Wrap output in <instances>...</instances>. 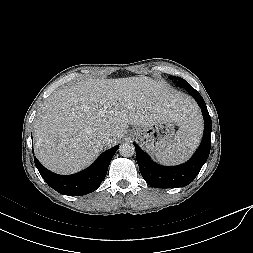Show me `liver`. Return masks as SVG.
Returning <instances> with one entry per match:
<instances>
[{
	"label": "liver",
	"instance_id": "liver-1",
	"mask_svg": "<svg viewBox=\"0 0 253 253\" xmlns=\"http://www.w3.org/2000/svg\"><path fill=\"white\" fill-rule=\"evenodd\" d=\"M192 104L150 77L87 79L59 88L38 110L35 155L49 170L70 174L88 166L103 147L115 145L128 125L163 119L181 124ZM109 132L102 144L99 135Z\"/></svg>",
	"mask_w": 253,
	"mask_h": 253
}]
</instances>
